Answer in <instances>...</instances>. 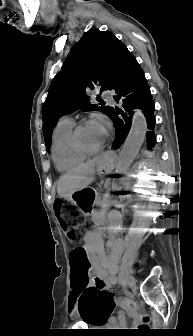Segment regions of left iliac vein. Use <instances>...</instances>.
I'll use <instances>...</instances> for the list:
<instances>
[{"label":"left iliac vein","instance_id":"4c4485c4","mask_svg":"<svg viewBox=\"0 0 193 336\" xmlns=\"http://www.w3.org/2000/svg\"><path fill=\"white\" fill-rule=\"evenodd\" d=\"M126 282L130 288H134L136 285V279L131 273L127 274Z\"/></svg>","mask_w":193,"mask_h":336}]
</instances>
